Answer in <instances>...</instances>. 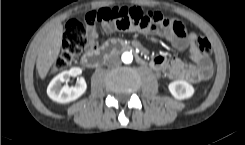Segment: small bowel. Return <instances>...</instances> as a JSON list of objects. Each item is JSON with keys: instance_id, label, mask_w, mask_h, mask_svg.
Returning <instances> with one entry per match:
<instances>
[{"instance_id": "c3829d8e", "label": "small bowel", "mask_w": 245, "mask_h": 145, "mask_svg": "<svg viewBox=\"0 0 245 145\" xmlns=\"http://www.w3.org/2000/svg\"><path fill=\"white\" fill-rule=\"evenodd\" d=\"M115 28L116 25L114 21H105L102 24V29L105 33H111ZM144 33H153L165 38L177 50L186 49L189 44H192L195 38L194 33L175 34L169 23L164 24V26L157 31ZM91 34L95 35V32L91 31ZM135 44L137 47H140L138 42ZM190 59L194 62L193 65H186L177 58L169 60L164 56H156L152 60V66L157 70H164L170 79L187 78L192 82L200 81L204 77V71L209 60L204 57L195 46L190 47Z\"/></svg>"}]
</instances>
